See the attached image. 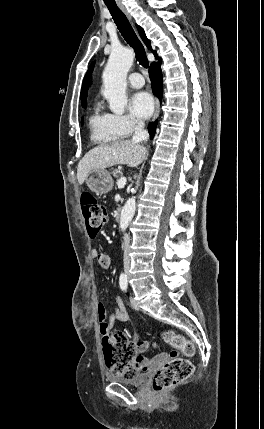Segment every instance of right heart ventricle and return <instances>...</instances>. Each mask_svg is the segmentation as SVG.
Listing matches in <instances>:
<instances>
[{
	"label": "right heart ventricle",
	"mask_w": 264,
	"mask_h": 429,
	"mask_svg": "<svg viewBox=\"0 0 264 429\" xmlns=\"http://www.w3.org/2000/svg\"><path fill=\"white\" fill-rule=\"evenodd\" d=\"M90 137L98 144H109L118 141L122 136L115 127L112 114L96 104L89 117Z\"/></svg>",
	"instance_id": "right-heart-ventricle-1"
}]
</instances>
